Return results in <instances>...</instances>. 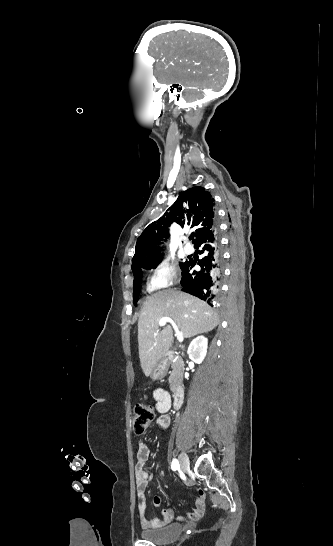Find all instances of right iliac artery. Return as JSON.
Here are the masks:
<instances>
[{
    "instance_id": "right-iliac-artery-1",
    "label": "right iliac artery",
    "mask_w": 333,
    "mask_h": 546,
    "mask_svg": "<svg viewBox=\"0 0 333 546\" xmlns=\"http://www.w3.org/2000/svg\"><path fill=\"white\" fill-rule=\"evenodd\" d=\"M179 467H180L179 461L176 460V459H173L172 464H171L172 470L175 471V470L179 469Z\"/></svg>"
}]
</instances>
